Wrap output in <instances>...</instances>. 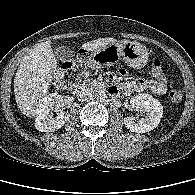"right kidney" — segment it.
Returning <instances> with one entry per match:
<instances>
[{
  "label": "right kidney",
  "instance_id": "ca27d5eb",
  "mask_svg": "<svg viewBox=\"0 0 195 195\" xmlns=\"http://www.w3.org/2000/svg\"><path fill=\"white\" fill-rule=\"evenodd\" d=\"M63 107L64 99L58 93H51L43 97L37 107L36 129L41 132H53L60 129L67 120V114ZM52 111L56 112V117H53Z\"/></svg>",
  "mask_w": 195,
  "mask_h": 195
}]
</instances>
